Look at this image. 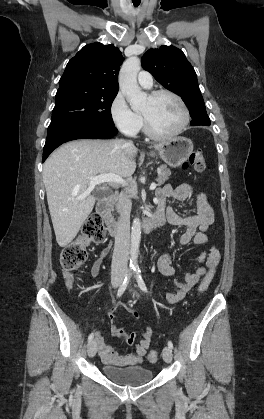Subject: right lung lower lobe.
I'll return each mask as SVG.
<instances>
[{"instance_id":"1","label":"right lung lower lobe","mask_w":264,"mask_h":419,"mask_svg":"<svg viewBox=\"0 0 264 419\" xmlns=\"http://www.w3.org/2000/svg\"><path fill=\"white\" fill-rule=\"evenodd\" d=\"M118 130L115 127L100 125H79L68 128L51 138H47L42 162L49 154L61 144L75 139H109L115 136Z\"/></svg>"}]
</instances>
